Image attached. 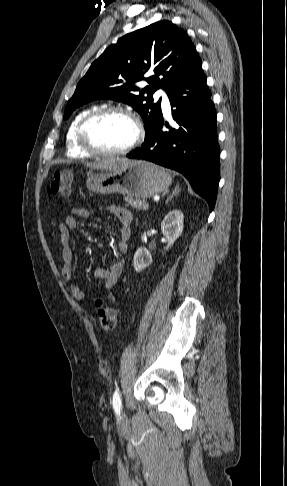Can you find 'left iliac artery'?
Here are the masks:
<instances>
[{
  "mask_svg": "<svg viewBox=\"0 0 287 486\" xmlns=\"http://www.w3.org/2000/svg\"><path fill=\"white\" fill-rule=\"evenodd\" d=\"M121 408H122V402H121L120 393L118 390H116L113 394V409L117 415H120Z\"/></svg>",
  "mask_w": 287,
  "mask_h": 486,
  "instance_id": "44dca946",
  "label": "left iliac artery"
}]
</instances>
